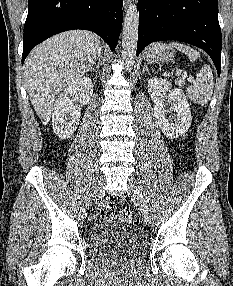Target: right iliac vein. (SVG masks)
<instances>
[{"label": "right iliac vein", "instance_id": "right-iliac-vein-1", "mask_svg": "<svg viewBox=\"0 0 233 286\" xmlns=\"http://www.w3.org/2000/svg\"><path fill=\"white\" fill-rule=\"evenodd\" d=\"M104 179L101 178L100 182H99V186L96 190V194H95V198L97 201L101 200L104 197V193H105V188H104Z\"/></svg>", "mask_w": 233, "mask_h": 286}]
</instances>
